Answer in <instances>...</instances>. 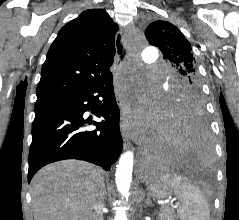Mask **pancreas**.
Listing matches in <instances>:
<instances>
[{
    "label": "pancreas",
    "instance_id": "pancreas-1",
    "mask_svg": "<svg viewBox=\"0 0 239 220\" xmlns=\"http://www.w3.org/2000/svg\"><path fill=\"white\" fill-rule=\"evenodd\" d=\"M160 220H175L174 210L169 207H162L160 213L158 214Z\"/></svg>",
    "mask_w": 239,
    "mask_h": 220
}]
</instances>
